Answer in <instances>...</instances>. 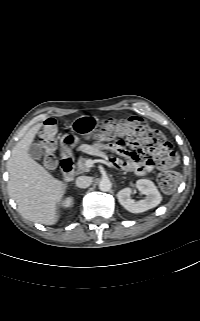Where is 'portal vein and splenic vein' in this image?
Masks as SVG:
<instances>
[{
  "label": "portal vein and splenic vein",
  "instance_id": "1",
  "mask_svg": "<svg viewBox=\"0 0 200 321\" xmlns=\"http://www.w3.org/2000/svg\"><path fill=\"white\" fill-rule=\"evenodd\" d=\"M93 164H94V161L91 160V159H89V160L86 161V166H87L88 168L92 167Z\"/></svg>",
  "mask_w": 200,
  "mask_h": 321
}]
</instances>
